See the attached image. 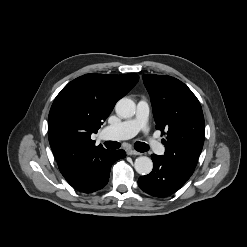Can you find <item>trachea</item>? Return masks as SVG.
Listing matches in <instances>:
<instances>
[{
  "label": "trachea",
  "instance_id": "3493384b",
  "mask_svg": "<svg viewBox=\"0 0 247 247\" xmlns=\"http://www.w3.org/2000/svg\"><path fill=\"white\" fill-rule=\"evenodd\" d=\"M104 145L108 149H118V148H120V143L119 142H115V141H106L104 143ZM134 148L138 152H146V151H148L149 146L146 143H143V142H136L135 145H134Z\"/></svg>",
  "mask_w": 247,
  "mask_h": 247
}]
</instances>
